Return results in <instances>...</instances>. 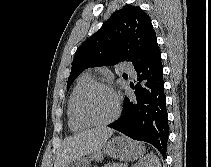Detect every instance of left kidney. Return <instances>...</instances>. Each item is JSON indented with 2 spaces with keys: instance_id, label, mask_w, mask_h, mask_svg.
I'll return each mask as SVG.
<instances>
[{
  "instance_id": "obj_1",
  "label": "left kidney",
  "mask_w": 211,
  "mask_h": 167,
  "mask_svg": "<svg viewBox=\"0 0 211 167\" xmlns=\"http://www.w3.org/2000/svg\"><path fill=\"white\" fill-rule=\"evenodd\" d=\"M133 167H161L158 157L151 153L142 158Z\"/></svg>"
}]
</instances>
